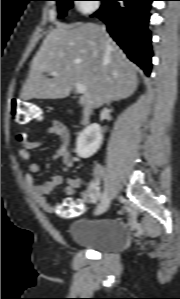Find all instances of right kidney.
I'll use <instances>...</instances> for the list:
<instances>
[{"label": "right kidney", "mask_w": 180, "mask_h": 299, "mask_svg": "<svg viewBox=\"0 0 180 299\" xmlns=\"http://www.w3.org/2000/svg\"><path fill=\"white\" fill-rule=\"evenodd\" d=\"M101 128L94 123L87 126L79 133L76 140V152L81 158H89L94 155L102 144Z\"/></svg>", "instance_id": "obj_1"}]
</instances>
